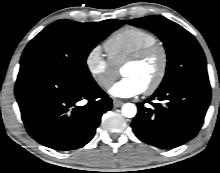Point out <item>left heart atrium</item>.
<instances>
[{"instance_id":"1","label":"left heart atrium","mask_w":220,"mask_h":173,"mask_svg":"<svg viewBox=\"0 0 220 173\" xmlns=\"http://www.w3.org/2000/svg\"><path fill=\"white\" fill-rule=\"evenodd\" d=\"M144 91V87L140 82L132 77H124L118 82L114 83L109 93L117 98H130L141 94Z\"/></svg>"}]
</instances>
